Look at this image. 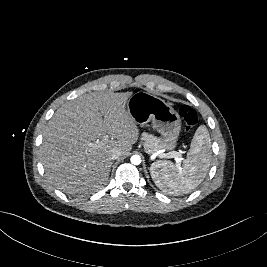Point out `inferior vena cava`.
<instances>
[{"label": "inferior vena cava", "mask_w": 267, "mask_h": 267, "mask_svg": "<svg viewBox=\"0 0 267 267\" xmlns=\"http://www.w3.org/2000/svg\"><path fill=\"white\" fill-rule=\"evenodd\" d=\"M122 156V152L118 149H112L109 153L110 160H116Z\"/></svg>", "instance_id": "obj_1"}]
</instances>
